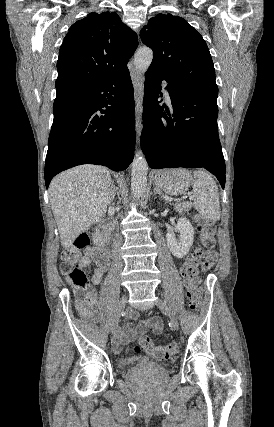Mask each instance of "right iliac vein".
I'll list each match as a JSON object with an SVG mask.
<instances>
[{
	"label": "right iliac vein",
	"mask_w": 274,
	"mask_h": 427,
	"mask_svg": "<svg viewBox=\"0 0 274 427\" xmlns=\"http://www.w3.org/2000/svg\"><path fill=\"white\" fill-rule=\"evenodd\" d=\"M126 304H127V296H126V295H124V296L121 298V300H120V302H119V304H118L116 317H115V319H114V321H113V323H112V328H111V333H112L111 340H112V344H113V346H114V347H115V343H116V335H115V332H116V330H117V328H118L119 319H120V317L122 316V313H123V311H124V309H125V307H126Z\"/></svg>",
	"instance_id": "63e3f726"
}]
</instances>
